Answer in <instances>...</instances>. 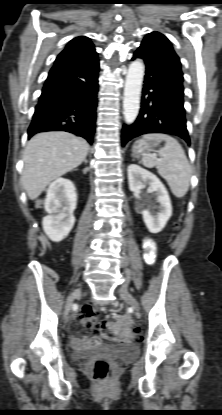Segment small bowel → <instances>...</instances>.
<instances>
[{
	"label": "small bowel",
	"mask_w": 222,
	"mask_h": 415,
	"mask_svg": "<svg viewBox=\"0 0 222 415\" xmlns=\"http://www.w3.org/2000/svg\"><path fill=\"white\" fill-rule=\"evenodd\" d=\"M143 247L145 250V257L147 259L148 262H153L155 260L156 257V242L152 239V238H145L143 240ZM126 317H120L118 318L117 321H125ZM95 342L97 341V339L94 340ZM84 340L83 339H76L74 341L75 344H80L83 343Z\"/></svg>",
	"instance_id": "obj_1"
}]
</instances>
